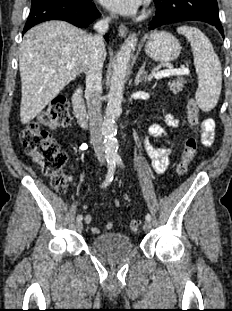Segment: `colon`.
Instances as JSON below:
<instances>
[{
  "label": "colon",
  "mask_w": 232,
  "mask_h": 311,
  "mask_svg": "<svg viewBox=\"0 0 232 311\" xmlns=\"http://www.w3.org/2000/svg\"><path fill=\"white\" fill-rule=\"evenodd\" d=\"M187 121L191 127L199 124V107L191 99L186 105ZM71 121L68 100L65 96H56L51 103L38 115L36 120L28 124L21 132V142L27 154L41 168L43 174L50 178L52 185L61 192L69 189L70 178L64 172L63 166L67 155L59 144L50 136L48 130L67 126ZM198 139L190 135L182 149L180 162L177 167L179 174H184L196 156ZM129 230L137 231L138 222L130 220Z\"/></svg>",
  "instance_id": "colon-1"
}]
</instances>
